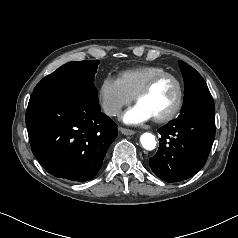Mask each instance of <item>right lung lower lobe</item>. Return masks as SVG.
Here are the masks:
<instances>
[{"label":"right lung lower lobe","instance_id":"98d812e1","mask_svg":"<svg viewBox=\"0 0 238 238\" xmlns=\"http://www.w3.org/2000/svg\"><path fill=\"white\" fill-rule=\"evenodd\" d=\"M80 92L32 94L25 121L32 152L55 177L85 182L99 171L117 125Z\"/></svg>","mask_w":238,"mask_h":238}]
</instances>
